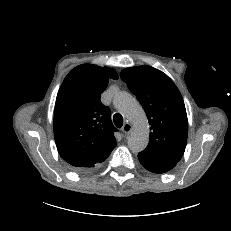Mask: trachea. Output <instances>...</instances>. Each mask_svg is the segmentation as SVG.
Returning a JSON list of instances; mask_svg holds the SVG:
<instances>
[{
    "label": "trachea",
    "mask_w": 231,
    "mask_h": 231,
    "mask_svg": "<svg viewBox=\"0 0 231 231\" xmlns=\"http://www.w3.org/2000/svg\"><path fill=\"white\" fill-rule=\"evenodd\" d=\"M113 121H114V124L116 125V127H118V128L122 127V125H123V117H122L121 114H118V113L115 114L113 116Z\"/></svg>",
    "instance_id": "3493384b"
}]
</instances>
